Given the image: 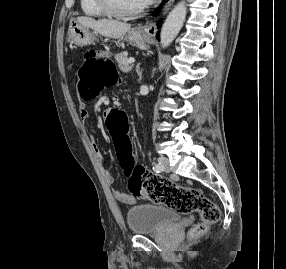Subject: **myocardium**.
Segmentation results:
<instances>
[{
  "instance_id": "myocardium-1",
  "label": "myocardium",
  "mask_w": 286,
  "mask_h": 269,
  "mask_svg": "<svg viewBox=\"0 0 286 269\" xmlns=\"http://www.w3.org/2000/svg\"><path fill=\"white\" fill-rule=\"evenodd\" d=\"M98 7L104 12L105 15L117 18V19H128L133 18L145 11L147 8V4L141 6L140 8L130 11L124 12L119 10L113 3L112 0H96Z\"/></svg>"
}]
</instances>
